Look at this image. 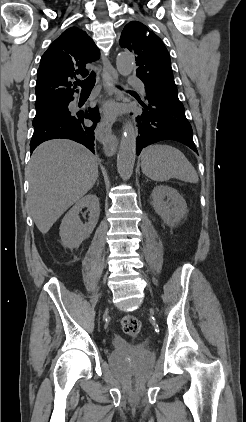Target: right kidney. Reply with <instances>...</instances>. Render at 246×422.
I'll use <instances>...</instances> for the list:
<instances>
[{"label": "right kidney", "mask_w": 246, "mask_h": 422, "mask_svg": "<svg viewBox=\"0 0 246 422\" xmlns=\"http://www.w3.org/2000/svg\"><path fill=\"white\" fill-rule=\"evenodd\" d=\"M87 208L89 213L88 222L83 224L79 212ZM100 216L99 199L94 194H88L81 198L62 219L60 225V237L63 246L73 249L78 248L93 232Z\"/></svg>", "instance_id": "1"}]
</instances>
